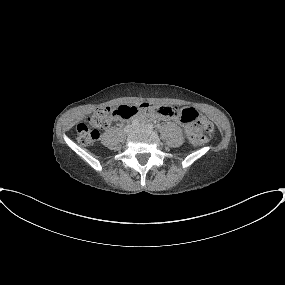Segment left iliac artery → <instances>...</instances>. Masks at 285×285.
<instances>
[{"mask_svg":"<svg viewBox=\"0 0 285 285\" xmlns=\"http://www.w3.org/2000/svg\"><path fill=\"white\" fill-rule=\"evenodd\" d=\"M147 128L150 129V130H153V129H154V127H153V125H152L151 123H148V124H147Z\"/></svg>","mask_w":285,"mask_h":285,"instance_id":"44dca946","label":"left iliac artery"}]
</instances>
